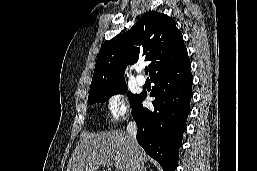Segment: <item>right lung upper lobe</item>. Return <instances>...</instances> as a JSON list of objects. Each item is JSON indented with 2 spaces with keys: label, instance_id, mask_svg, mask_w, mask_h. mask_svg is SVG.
I'll return each instance as SVG.
<instances>
[{
  "label": "right lung upper lobe",
  "instance_id": "cb5924a9",
  "mask_svg": "<svg viewBox=\"0 0 257 171\" xmlns=\"http://www.w3.org/2000/svg\"><path fill=\"white\" fill-rule=\"evenodd\" d=\"M188 58L183 36L172 18L147 12L127 32L100 50L90 92L125 84V68L139 59L151 61L150 76L183 63Z\"/></svg>",
  "mask_w": 257,
  "mask_h": 171
}]
</instances>
